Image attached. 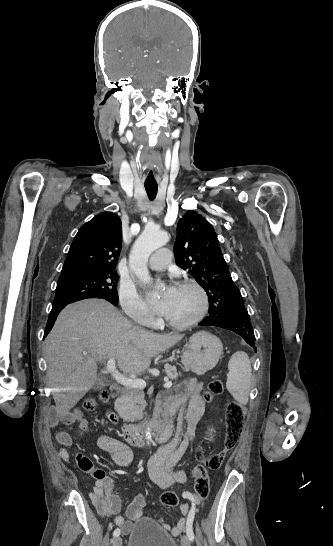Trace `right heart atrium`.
I'll list each match as a JSON object with an SVG mask.
<instances>
[{
	"instance_id": "obj_1",
	"label": "right heart atrium",
	"mask_w": 333,
	"mask_h": 546,
	"mask_svg": "<svg viewBox=\"0 0 333 546\" xmlns=\"http://www.w3.org/2000/svg\"><path fill=\"white\" fill-rule=\"evenodd\" d=\"M118 295L123 311L133 321L145 325L154 323L155 316L152 310L132 284L121 281L118 288Z\"/></svg>"
}]
</instances>
